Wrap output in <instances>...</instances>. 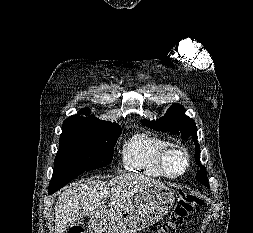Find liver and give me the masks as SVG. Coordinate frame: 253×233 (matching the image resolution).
I'll return each instance as SVG.
<instances>
[{
	"label": "liver",
	"mask_w": 253,
	"mask_h": 233,
	"mask_svg": "<svg viewBox=\"0 0 253 233\" xmlns=\"http://www.w3.org/2000/svg\"><path fill=\"white\" fill-rule=\"evenodd\" d=\"M161 184L159 181L137 173L116 176L109 181L89 178L77 183L59 195L55 204V233H65L67 228L84 216L106 212L103 199L117 206L143 189Z\"/></svg>",
	"instance_id": "6515ba94"
}]
</instances>
